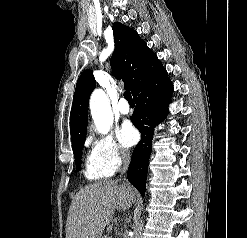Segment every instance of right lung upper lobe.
Wrapping results in <instances>:
<instances>
[{
	"instance_id": "right-lung-upper-lobe-1",
	"label": "right lung upper lobe",
	"mask_w": 247,
	"mask_h": 238,
	"mask_svg": "<svg viewBox=\"0 0 247 238\" xmlns=\"http://www.w3.org/2000/svg\"><path fill=\"white\" fill-rule=\"evenodd\" d=\"M115 50L111 58L113 74L123 79L125 88L135 96L164 69L157 56L140 39L136 31L119 22L113 24ZM96 81L90 70H85L77 81L70 113L72 144L86 138L89 97Z\"/></svg>"
}]
</instances>
